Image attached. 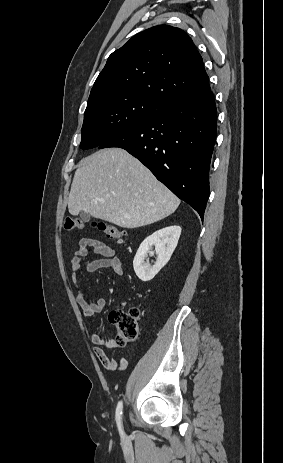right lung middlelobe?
I'll return each mask as SVG.
<instances>
[{"instance_id":"dd1d6c3e","label":"right lung middle lobe","mask_w":283,"mask_h":463,"mask_svg":"<svg viewBox=\"0 0 283 463\" xmlns=\"http://www.w3.org/2000/svg\"><path fill=\"white\" fill-rule=\"evenodd\" d=\"M159 106L148 98L124 91L89 100L81 130V148L90 149L102 145L146 119Z\"/></svg>"}]
</instances>
